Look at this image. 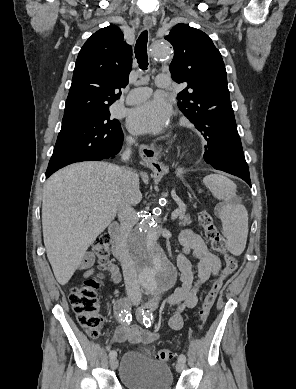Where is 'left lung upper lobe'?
I'll use <instances>...</instances> for the list:
<instances>
[{
  "label": "left lung upper lobe",
  "mask_w": 296,
  "mask_h": 389,
  "mask_svg": "<svg viewBox=\"0 0 296 389\" xmlns=\"http://www.w3.org/2000/svg\"><path fill=\"white\" fill-rule=\"evenodd\" d=\"M165 39L174 48L172 78L188 84L177 97L178 107L201 131L200 125L210 110L230 103L222 56L207 34L186 24H177Z\"/></svg>",
  "instance_id": "left-lung-upper-lobe-1"
}]
</instances>
